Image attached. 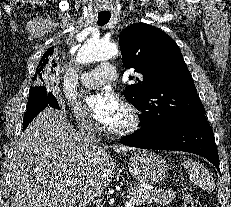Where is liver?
Instances as JSON below:
<instances>
[{"label":"liver","mask_w":231,"mask_h":207,"mask_svg":"<svg viewBox=\"0 0 231 207\" xmlns=\"http://www.w3.org/2000/svg\"><path fill=\"white\" fill-rule=\"evenodd\" d=\"M107 150L84 149L64 112L47 107L17 141L11 158V207H81L113 178L115 163Z\"/></svg>","instance_id":"6515ba94"}]
</instances>
